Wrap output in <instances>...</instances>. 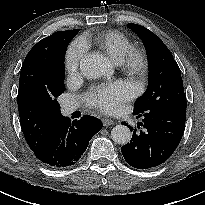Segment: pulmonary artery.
<instances>
[{
	"mask_svg": "<svg viewBox=\"0 0 205 205\" xmlns=\"http://www.w3.org/2000/svg\"><path fill=\"white\" fill-rule=\"evenodd\" d=\"M77 108L76 103L69 102L63 105V113L65 115L71 114Z\"/></svg>",
	"mask_w": 205,
	"mask_h": 205,
	"instance_id": "1",
	"label": "pulmonary artery"
}]
</instances>
